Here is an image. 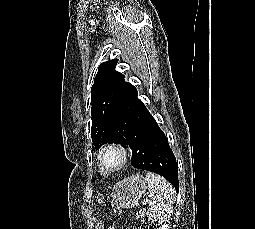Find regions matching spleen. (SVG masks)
<instances>
[{"instance_id":"1","label":"spleen","mask_w":255,"mask_h":229,"mask_svg":"<svg viewBox=\"0 0 255 229\" xmlns=\"http://www.w3.org/2000/svg\"><path fill=\"white\" fill-rule=\"evenodd\" d=\"M148 191L151 197L147 217L149 220L163 222L172 213L175 191L173 186L162 176L147 172Z\"/></svg>"}]
</instances>
